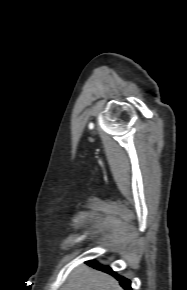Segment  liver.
<instances>
[{
  "label": "liver",
  "instance_id": "1",
  "mask_svg": "<svg viewBox=\"0 0 187 290\" xmlns=\"http://www.w3.org/2000/svg\"><path fill=\"white\" fill-rule=\"evenodd\" d=\"M64 290H122L118 282L109 275L83 265L69 277Z\"/></svg>",
  "mask_w": 187,
  "mask_h": 290
}]
</instances>
